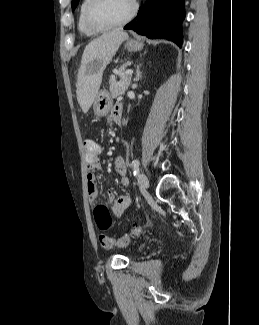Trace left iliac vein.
<instances>
[{
  "label": "left iliac vein",
  "mask_w": 259,
  "mask_h": 325,
  "mask_svg": "<svg viewBox=\"0 0 259 325\" xmlns=\"http://www.w3.org/2000/svg\"><path fill=\"white\" fill-rule=\"evenodd\" d=\"M138 183L141 188L147 189L149 187V180L144 173H140L138 176Z\"/></svg>",
  "instance_id": "4c4485c4"
}]
</instances>
